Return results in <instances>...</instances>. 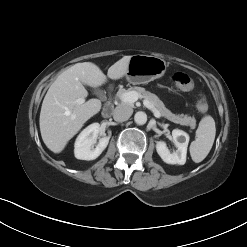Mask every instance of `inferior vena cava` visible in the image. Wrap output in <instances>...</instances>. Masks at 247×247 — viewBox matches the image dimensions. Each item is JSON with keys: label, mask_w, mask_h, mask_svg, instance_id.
Returning <instances> with one entry per match:
<instances>
[{"label": "inferior vena cava", "mask_w": 247, "mask_h": 247, "mask_svg": "<svg viewBox=\"0 0 247 247\" xmlns=\"http://www.w3.org/2000/svg\"><path fill=\"white\" fill-rule=\"evenodd\" d=\"M133 113V109L127 105L117 106L113 112V118L115 121L123 122L130 118Z\"/></svg>", "instance_id": "1"}]
</instances>
